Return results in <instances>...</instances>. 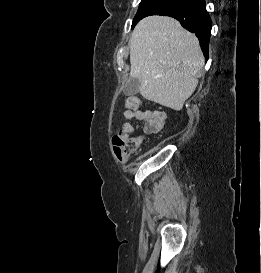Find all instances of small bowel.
Wrapping results in <instances>:
<instances>
[{"label":"small bowel","mask_w":261,"mask_h":273,"mask_svg":"<svg viewBox=\"0 0 261 273\" xmlns=\"http://www.w3.org/2000/svg\"><path fill=\"white\" fill-rule=\"evenodd\" d=\"M124 117L127 120H138L142 122L141 128L147 134L159 132L164 124L166 116L159 110H143L142 112H134L131 108L127 107L124 111ZM123 130L128 133H132L135 127L126 122L123 126Z\"/></svg>","instance_id":"c3829d8e"}]
</instances>
